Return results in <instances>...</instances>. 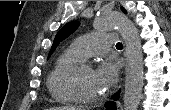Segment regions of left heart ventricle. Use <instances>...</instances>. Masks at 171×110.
Masks as SVG:
<instances>
[{"label": "left heart ventricle", "instance_id": "1", "mask_svg": "<svg viewBox=\"0 0 171 110\" xmlns=\"http://www.w3.org/2000/svg\"><path fill=\"white\" fill-rule=\"evenodd\" d=\"M79 90L89 97L99 96L105 92L95 77L92 68H84L77 76Z\"/></svg>", "mask_w": 171, "mask_h": 110}]
</instances>
